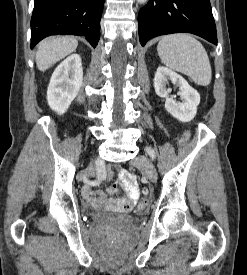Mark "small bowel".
<instances>
[{"label": "small bowel", "mask_w": 247, "mask_h": 275, "mask_svg": "<svg viewBox=\"0 0 247 275\" xmlns=\"http://www.w3.org/2000/svg\"><path fill=\"white\" fill-rule=\"evenodd\" d=\"M112 176V171H108V178ZM119 184L123 187L126 196L113 201V205L122 211H130L137 203L140 195L136 177L125 169L118 168ZM100 181H91L83 188V194L86 199L94 206H100L105 202V195L95 190ZM108 191L111 194L117 192V183L109 186Z\"/></svg>", "instance_id": "small-bowel-1"}]
</instances>
